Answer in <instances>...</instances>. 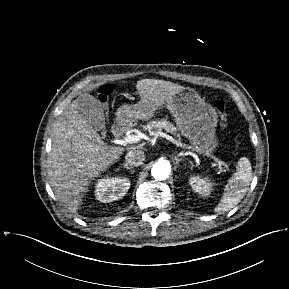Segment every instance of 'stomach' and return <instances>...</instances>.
I'll use <instances>...</instances> for the list:
<instances>
[{
  "label": "stomach",
  "instance_id": "1",
  "mask_svg": "<svg viewBox=\"0 0 289 289\" xmlns=\"http://www.w3.org/2000/svg\"><path fill=\"white\" fill-rule=\"evenodd\" d=\"M166 103L178 130L193 147L203 154L214 152L218 145L215 135L218 115L215 109L189 87L177 91ZM153 114L154 111L140 100L135 105L120 107L116 115L118 121L125 122L132 119L146 120Z\"/></svg>",
  "mask_w": 289,
  "mask_h": 289
}]
</instances>
